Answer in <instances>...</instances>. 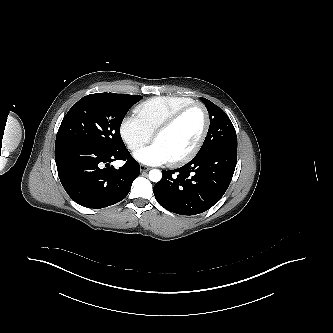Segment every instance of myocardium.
Masks as SVG:
<instances>
[{"mask_svg":"<svg viewBox=\"0 0 333 333\" xmlns=\"http://www.w3.org/2000/svg\"><path fill=\"white\" fill-rule=\"evenodd\" d=\"M195 107H199L202 110L203 115H204V126L202 129V132H201L197 142L195 143V145L188 152H186L185 154H183L177 158L169 160V163L171 165H181V164H184V163L190 161L192 158H194L197 155V153L201 149L203 143L205 142V139L207 137L209 127H210V116H209L208 109L201 102H192V103L178 109L176 112H174L163 123H161L153 133V139L155 141L159 135H161L163 132L170 129L175 123H177V121L184 114H186L188 111H190L191 109H193Z\"/></svg>","mask_w":333,"mask_h":333,"instance_id":"1","label":"myocardium"}]
</instances>
